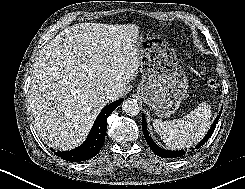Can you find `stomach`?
I'll list each match as a JSON object with an SVG mask.
<instances>
[{
	"label": "stomach",
	"mask_w": 245,
	"mask_h": 189,
	"mask_svg": "<svg viewBox=\"0 0 245 189\" xmlns=\"http://www.w3.org/2000/svg\"><path fill=\"white\" fill-rule=\"evenodd\" d=\"M135 46L142 79L137 93L158 117L175 113L188 89V78L175 49L165 41L140 36Z\"/></svg>",
	"instance_id": "stomach-1"
}]
</instances>
